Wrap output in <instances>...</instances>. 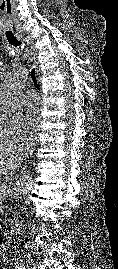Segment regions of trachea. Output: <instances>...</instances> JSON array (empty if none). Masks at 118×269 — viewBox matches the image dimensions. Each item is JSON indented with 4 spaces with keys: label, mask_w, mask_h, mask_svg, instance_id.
Masks as SVG:
<instances>
[{
    "label": "trachea",
    "mask_w": 118,
    "mask_h": 269,
    "mask_svg": "<svg viewBox=\"0 0 118 269\" xmlns=\"http://www.w3.org/2000/svg\"><path fill=\"white\" fill-rule=\"evenodd\" d=\"M8 42L10 45H13L15 47L17 46H20L21 45V42H19L17 39H8ZM31 79L35 85V87L40 90V87H39V84H38V81H37V77H36V71H35V68H33L31 70Z\"/></svg>",
    "instance_id": "1"
}]
</instances>
